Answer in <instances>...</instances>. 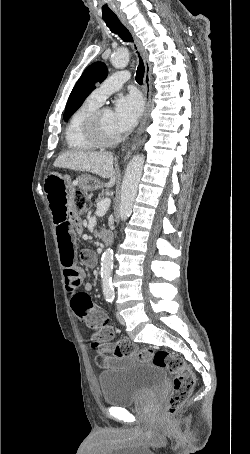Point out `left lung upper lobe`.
Instances as JSON below:
<instances>
[{
  "label": "left lung upper lobe",
  "instance_id": "obj_1",
  "mask_svg": "<svg viewBox=\"0 0 250 454\" xmlns=\"http://www.w3.org/2000/svg\"><path fill=\"white\" fill-rule=\"evenodd\" d=\"M107 72V67L102 62L93 63L83 72L69 96L64 120H67L82 105L98 83L106 78Z\"/></svg>",
  "mask_w": 250,
  "mask_h": 454
}]
</instances>
